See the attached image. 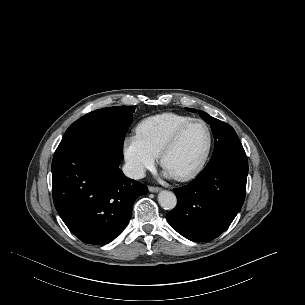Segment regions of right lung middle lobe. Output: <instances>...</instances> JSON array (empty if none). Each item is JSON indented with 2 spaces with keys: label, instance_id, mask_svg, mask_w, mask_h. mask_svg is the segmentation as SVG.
Here are the masks:
<instances>
[{
  "label": "right lung middle lobe",
  "instance_id": "dd1d6c3e",
  "mask_svg": "<svg viewBox=\"0 0 305 305\" xmlns=\"http://www.w3.org/2000/svg\"><path fill=\"white\" fill-rule=\"evenodd\" d=\"M134 111V106H116L95 110L82 116L66 130L56 151L99 142L123 159V142L133 121Z\"/></svg>",
  "mask_w": 305,
  "mask_h": 305
}]
</instances>
